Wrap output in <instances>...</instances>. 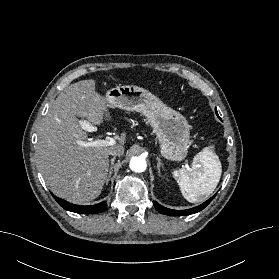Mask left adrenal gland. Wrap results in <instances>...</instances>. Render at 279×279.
Returning <instances> with one entry per match:
<instances>
[{
    "label": "left adrenal gland",
    "mask_w": 279,
    "mask_h": 279,
    "mask_svg": "<svg viewBox=\"0 0 279 279\" xmlns=\"http://www.w3.org/2000/svg\"><path fill=\"white\" fill-rule=\"evenodd\" d=\"M157 170H158V173L160 174V170L161 168H163L162 166V162H161V159L157 156Z\"/></svg>",
    "instance_id": "obj_1"
}]
</instances>
